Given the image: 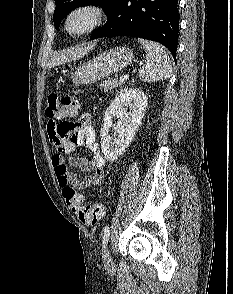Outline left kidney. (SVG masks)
Listing matches in <instances>:
<instances>
[{
	"label": "left kidney",
	"mask_w": 233,
	"mask_h": 294,
	"mask_svg": "<svg viewBox=\"0 0 233 294\" xmlns=\"http://www.w3.org/2000/svg\"><path fill=\"white\" fill-rule=\"evenodd\" d=\"M147 105L148 98L140 89L124 88L106 109L101 128V149L107 160H116L129 146L141 124ZM113 117L118 118L115 124L112 122ZM111 127L118 134V138L112 139L109 135Z\"/></svg>",
	"instance_id": "left-kidney-1"
}]
</instances>
